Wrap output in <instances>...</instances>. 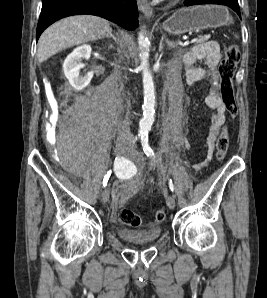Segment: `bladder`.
Here are the masks:
<instances>
[{"label":"bladder","mask_w":267,"mask_h":298,"mask_svg":"<svg viewBox=\"0 0 267 298\" xmlns=\"http://www.w3.org/2000/svg\"><path fill=\"white\" fill-rule=\"evenodd\" d=\"M161 233L160 227H153L148 230L120 228L117 231V235L121 240L134 245H145L155 242L159 239Z\"/></svg>","instance_id":"bladder-1"}]
</instances>
